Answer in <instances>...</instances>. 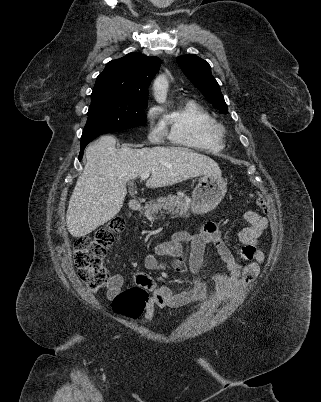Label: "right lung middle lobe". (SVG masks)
I'll return each mask as SVG.
<instances>
[{
  "label": "right lung middle lobe",
  "instance_id": "dd1d6c3e",
  "mask_svg": "<svg viewBox=\"0 0 321 402\" xmlns=\"http://www.w3.org/2000/svg\"><path fill=\"white\" fill-rule=\"evenodd\" d=\"M83 138L95 139L101 134L144 125L146 101H134L106 93H92Z\"/></svg>",
  "mask_w": 321,
  "mask_h": 402
}]
</instances>
